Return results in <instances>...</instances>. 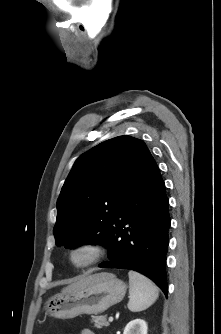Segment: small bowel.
<instances>
[{
	"label": "small bowel",
	"mask_w": 221,
	"mask_h": 334,
	"mask_svg": "<svg viewBox=\"0 0 221 334\" xmlns=\"http://www.w3.org/2000/svg\"><path fill=\"white\" fill-rule=\"evenodd\" d=\"M79 334H95L92 330L88 329V328H84L80 331Z\"/></svg>",
	"instance_id": "obj_1"
}]
</instances>
